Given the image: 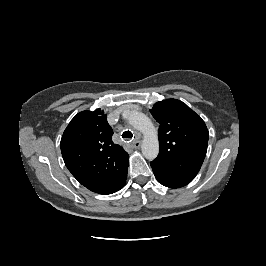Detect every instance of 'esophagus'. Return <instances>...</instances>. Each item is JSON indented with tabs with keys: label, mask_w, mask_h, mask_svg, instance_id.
<instances>
[{
	"label": "esophagus",
	"mask_w": 266,
	"mask_h": 266,
	"mask_svg": "<svg viewBox=\"0 0 266 266\" xmlns=\"http://www.w3.org/2000/svg\"><path fill=\"white\" fill-rule=\"evenodd\" d=\"M132 146L136 149L140 148L141 146V141L140 140H136L132 142Z\"/></svg>",
	"instance_id": "1"
}]
</instances>
